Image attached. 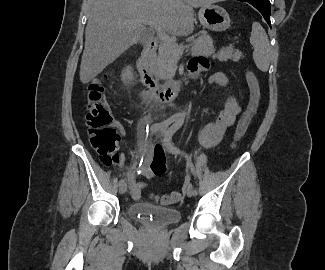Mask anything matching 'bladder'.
Masks as SVG:
<instances>
[{
  "label": "bladder",
  "mask_w": 325,
  "mask_h": 270,
  "mask_svg": "<svg viewBox=\"0 0 325 270\" xmlns=\"http://www.w3.org/2000/svg\"><path fill=\"white\" fill-rule=\"evenodd\" d=\"M127 212L132 219L149 222L156 227L168 226L181 220V213L178 209L144 201L129 204Z\"/></svg>",
  "instance_id": "1"
}]
</instances>
